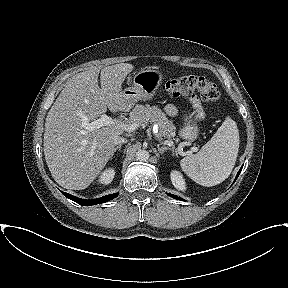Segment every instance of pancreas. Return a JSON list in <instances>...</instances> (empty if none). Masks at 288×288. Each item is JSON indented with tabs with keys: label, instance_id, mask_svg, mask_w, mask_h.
Instances as JSON below:
<instances>
[{
	"label": "pancreas",
	"instance_id": "pancreas-1",
	"mask_svg": "<svg viewBox=\"0 0 288 288\" xmlns=\"http://www.w3.org/2000/svg\"><path fill=\"white\" fill-rule=\"evenodd\" d=\"M129 121L131 123H137L139 126L147 125L149 123H158L159 133L158 139H170L175 136L176 127L172 121L168 120L165 113H163L156 106L150 105H136L129 114Z\"/></svg>",
	"mask_w": 288,
	"mask_h": 288
}]
</instances>
